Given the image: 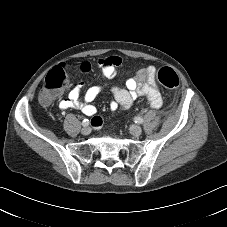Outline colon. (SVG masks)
<instances>
[{"label": "colon", "instance_id": "1", "mask_svg": "<svg viewBox=\"0 0 227 227\" xmlns=\"http://www.w3.org/2000/svg\"><path fill=\"white\" fill-rule=\"evenodd\" d=\"M78 70L81 72H88L90 70V64L88 62H82L78 66ZM158 82L166 88L175 89L179 86V77L177 73L169 68L163 67L157 73ZM69 82V76L67 70L63 66H55L45 77L40 92V102L42 104H49ZM99 119L93 120L94 125H98Z\"/></svg>", "mask_w": 227, "mask_h": 227}]
</instances>
